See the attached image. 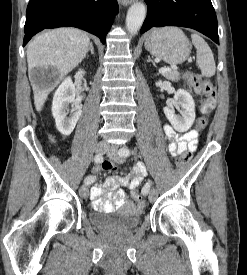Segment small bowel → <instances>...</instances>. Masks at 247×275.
<instances>
[{
    "mask_svg": "<svg viewBox=\"0 0 247 275\" xmlns=\"http://www.w3.org/2000/svg\"><path fill=\"white\" fill-rule=\"evenodd\" d=\"M168 140V150L172 156H177L182 152L196 150L198 143V133L195 130L178 134L172 126L166 124L163 127ZM111 170H114L111 169ZM100 171V167L93 169L94 173ZM146 175V169L142 164L136 165L131 173V177L110 176L102 184H96L91 189V201L94 209L99 211H113L120 209L126 213H137L142 207V203L128 200L123 187L130 189L138 188ZM106 197V198H103ZM113 200V202L111 201Z\"/></svg>",
    "mask_w": 247,
    "mask_h": 275,
    "instance_id": "obj_1",
    "label": "small bowel"
}]
</instances>
